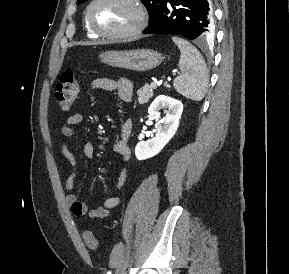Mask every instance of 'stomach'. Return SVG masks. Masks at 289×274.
<instances>
[{
    "instance_id": "stomach-1",
    "label": "stomach",
    "mask_w": 289,
    "mask_h": 274,
    "mask_svg": "<svg viewBox=\"0 0 289 274\" xmlns=\"http://www.w3.org/2000/svg\"><path fill=\"white\" fill-rule=\"evenodd\" d=\"M101 62L134 71H147L159 66L164 57L161 53L150 49L130 51H106L99 55Z\"/></svg>"
}]
</instances>
